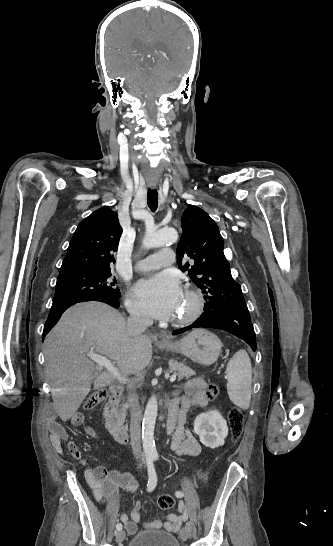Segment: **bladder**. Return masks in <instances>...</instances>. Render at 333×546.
Instances as JSON below:
<instances>
[{
	"mask_svg": "<svg viewBox=\"0 0 333 546\" xmlns=\"http://www.w3.org/2000/svg\"><path fill=\"white\" fill-rule=\"evenodd\" d=\"M128 546H180L177 538L165 531L143 529L128 542Z\"/></svg>",
	"mask_w": 333,
	"mask_h": 546,
	"instance_id": "obj_1",
	"label": "bladder"
}]
</instances>
